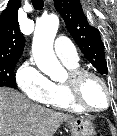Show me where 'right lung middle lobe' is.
<instances>
[{"mask_svg": "<svg viewBox=\"0 0 117 136\" xmlns=\"http://www.w3.org/2000/svg\"><path fill=\"white\" fill-rule=\"evenodd\" d=\"M18 60H0V87L15 88L14 68Z\"/></svg>", "mask_w": 117, "mask_h": 136, "instance_id": "obj_1", "label": "right lung middle lobe"}]
</instances>
